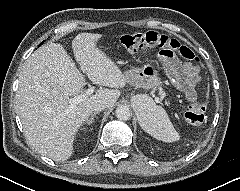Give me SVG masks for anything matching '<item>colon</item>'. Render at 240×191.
I'll return each mask as SVG.
<instances>
[{
    "label": "colon",
    "mask_w": 240,
    "mask_h": 191,
    "mask_svg": "<svg viewBox=\"0 0 240 191\" xmlns=\"http://www.w3.org/2000/svg\"><path fill=\"white\" fill-rule=\"evenodd\" d=\"M118 43L129 51H135L143 47H157L163 59L171 58L178 53L184 60L199 63L198 58L187 46L182 45L177 39L167 35L148 31L145 33H134L122 36ZM186 120L192 125H200L205 120L204 102L194 101L185 111Z\"/></svg>",
    "instance_id": "5ec220e1"
}]
</instances>
